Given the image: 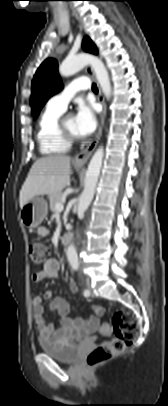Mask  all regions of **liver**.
I'll list each match as a JSON object with an SVG mask.
<instances>
[{"instance_id": "liver-1", "label": "liver", "mask_w": 168, "mask_h": 406, "mask_svg": "<svg viewBox=\"0 0 168 406\" xmlns=\"http://www.w3.org/2000/svg\"><path fill=\"white\" fill-rule=\"evenodd\" d=\"M70 160L65 155H50L36 160L20 190V208L35 196H53L61 192L70 182Z\"/></svg>"}]
</instances>
